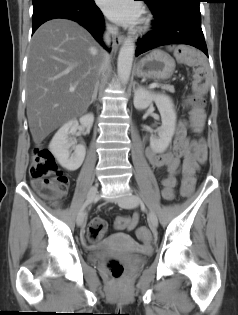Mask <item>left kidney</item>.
<instances>
[{
  "mask_svg": "<svg viewBox=\"0 0 238 315\" xmlns=\"http://www.w3.org/2000/svg\"><path fill=\"white\" fill-rule=\"evenodd\" d=\"M155 102L162 120V125L157 129L158 136L150 138V147L157 153L164 152L171 143L176 126V113L171 98L165 94L154 93L139 87L134 92V106L143 110Z\"/></svg>",
  "mask_w": 238,
  "mask_h": 315,
  "instance_id": "left-kidney-1",
  "label": "left kidney"
}]
</instances>
